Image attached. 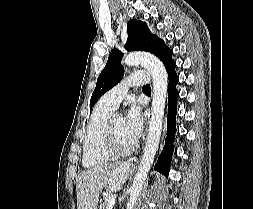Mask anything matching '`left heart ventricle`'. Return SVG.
<instances>
[{
  "label": "left heart ventricle",
  "mask_w": 253,
  "mask_h": 209,
  "mask_svg": "<svg viewBox=\"0 0 253 209\" xmlns=\"http://www.w3.org/2000/svg\"><path fill=\"white\" fill-rule=\"evenodd\" d=\"M113 129L117 148L126 149L133 145L134 141L128 135L124 117H116Z\"/></svg>",
  "instance_id": "obj_1"
}]
</instances>
